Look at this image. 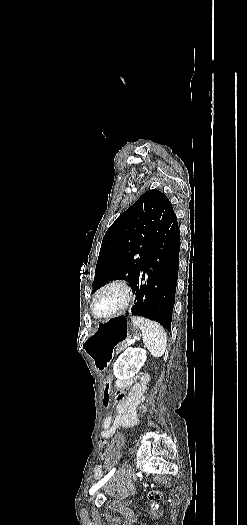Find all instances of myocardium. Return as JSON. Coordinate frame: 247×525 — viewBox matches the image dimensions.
I'll list each match as a JSON object with an SVG mask.
<instances>
[{"label": "myocardium", "mask_w": 247, "mask_h": 525, "mask_svg": "<svg viewBox=\"0 0 247 525\" xmlns=\"http://www.w3.org/2000/svg\"><path fill=\"white\" fill-rule=\"evenodd\" d=\"M107 288H116L123 290L125 292V299L124 301L116 308L109 310L104 313H99L95 308V301L97 296L105 289ZM133 297V289L131 285L124 279H111L104 283H102L93 293L90 303V308L92 314L98 318V319H107L114 317L120 313H122L129 305Z\"/></svg>", "instance_id": "f54148a6"}]
</instances>
